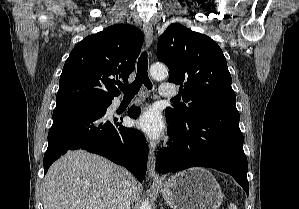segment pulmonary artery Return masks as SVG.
Instances as JSON below:
<instances>
[{
    "mask_svg": "<svg viewBox=\"0 0 299 209\" xmlns=\"http://www.w3.org/2000/svg\"><path fill=\"white\" fill-rule=\"evenodd\" d=\"M159 94L163 97H174L177 94V89L171 84L163 83L160 85Z\"/></svg>",
    "mask_w": 299,
    "mask_h": 209,
    "instance_id": "1",
    "label": "pulmonary artery"
}]
</instances>
